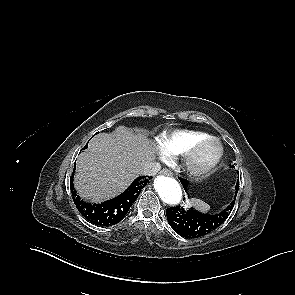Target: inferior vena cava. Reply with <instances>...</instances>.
<instances>
[{"label": "inferior vena cava", "mask_w": 295, "mask_h": 295, "mask_svg": "<svg viewBox=\"0 0 295 295\" xmlns=\"http://www.w3.org/2000/svg\"><path fill=\"white\" fill-rule=\"evenodd\" d=\"M161 165L160 163L152 162L147 165H145L141 170V175H148V176H154L157 174L158 171H160Z\"/></svg>", "instance_id": "inferior-vena-cava-1"}]
</instances>
